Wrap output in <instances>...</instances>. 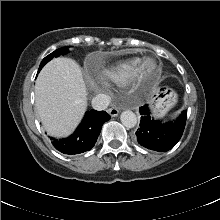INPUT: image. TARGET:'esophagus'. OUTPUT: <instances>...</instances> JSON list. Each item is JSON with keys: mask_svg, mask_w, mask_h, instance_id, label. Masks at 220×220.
Segmentation results:
<instances>
[{"mask_svg": "<svg viewBox=\"0 0 220 220\" xmlns=\"http://www.w3.org/2000/svg\"><path fill=\"white\" fill-rule=\"evenodd\" d=\"M108 113L112 116L115 117L119 114V109L116 107H112L108 110Z\"/></svg>", "mask_w": 220, "mask_h": 220, "instance_id": "esophagus-1", "label": "esophagus"}]
</instances>
